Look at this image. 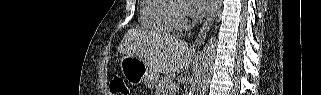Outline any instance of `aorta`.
<instances>
[{
  "instance_id": "obj_1",
  "label": "aorta",
  "mask_w": 321,
  "mask_h": 95,
  "mask_svg": "<svg viewBox=\"0 0 321 95\" xmlns=\"http://www.w3.org/2000/svg\"><path fill=\"white\" fill-rule=\"evenodd\" d=\"M215 37H211L198 58L190 95H205L211 79L215 58Z\"/></svg>"
}]
</instances>
